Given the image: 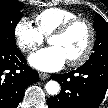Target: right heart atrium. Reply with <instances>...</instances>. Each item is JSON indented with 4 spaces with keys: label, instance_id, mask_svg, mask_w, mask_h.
Masks as SVG:
<instances>
[{
    "label": "right heart atrium",
    "instance_id": "obj_1",
    "mask_svg": "<svg viewBox=\"0 0 108 108\" xmlns=\"http://www.w3.org/2000/svg\"><path fill=\"white\" fill-rule=\"evenodd\" d=\"M14 38L18 48L25 53L34 52L44 41L42 34L27 18L15 25Z\"/></svg>",
    "mask_w": 108,
    "mask_h": 108
}]
</instances>
